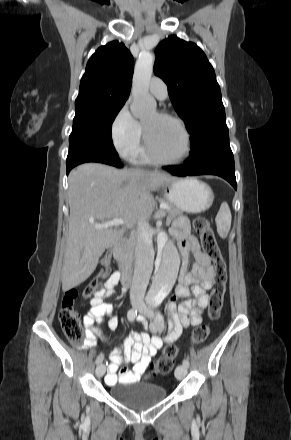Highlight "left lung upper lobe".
<instances>
[{
    "instance_id": "5c2ea615",
    "label": "left lung upper lobe",
    "mask_w": 291,
    "mask_h": 440,
    "mask_svg": "<svg viewBox=\"0 0 291 440\" xmlns=\"http://www.w3.org/2000/svg\"><path fill=\"white\" fill-rule=\"evenodd\" d=\"M155 75L167 86L172 104L191 135V154L228 135L221 91L212 65L192 42L169 36L156 48Z\"/></svg>"
}]
</instances>
